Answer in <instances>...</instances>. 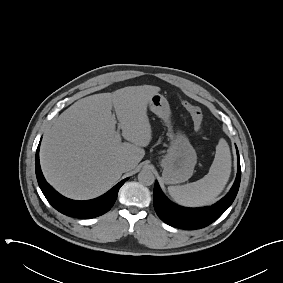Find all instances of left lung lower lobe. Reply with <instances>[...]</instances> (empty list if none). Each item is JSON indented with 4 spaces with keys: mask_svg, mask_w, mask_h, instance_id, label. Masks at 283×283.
<instances>
[{
    "mask_svg": "<svg viewBox=\"0 0 283 283\" xmlns=\"http://www.w3.org/2000/svg\"><path fill=\"white\" fill-rule=\"evenodd\" d=\"M237 157L238 172L231 190L224 198L210 207L185 208L178 206L165 197L156 181L153 203L159 218L168 225L181 229H200L217 220L230 207L239 189L241 167L238 150Z\"/></svg>",
    "mask_w": 283,
    "mask_h": 283,
    "instance_id": "left-lung-lower-lobe-1",
    "label": "left lung lower lobe"
}]
</instances>
